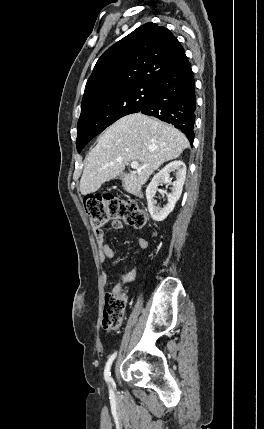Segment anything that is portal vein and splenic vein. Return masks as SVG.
<instances>
[{
  "label": "portal vein and splenic vein",
  "instance_id": "1",
  "mask_svg": "<svg viewBox=\"0 0 264 429\" xmlns=\"http://www.w3.org/2000/svg\"><path fill=\"white\" fill-rule=\"evenodd\" d=\"M131 168L135 169L137 171L143 170L146 168V166H140L139 163L137 161H132L131 162Z\"/></svg>",
  "mask_w": 264,
  "mask_h": 429
}]
</instances>
